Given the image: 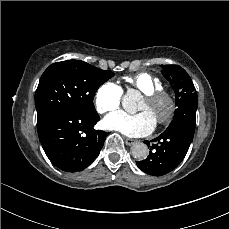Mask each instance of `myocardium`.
I'll return each mask as SVG.
<instances>
[{
    "label": "myocardium",
    "instance_id": "1",
    "mask_svg": "<svg viewBox=\"0 0 229 229\" xmlns=\"http://www.w3.org/2000/svg\"><path fill=\"white\" fill-rule=\"evenodd\" d=\"M144 98L151 104L165 103L167 105L166 111L155 118L157 123L168 125L173 121L177 113L178 103L172 93L163 88L155 89L144 93Z\"/></svg>",
    "mask_w": 229,
    "mask_h": 229
}]
</instances>
